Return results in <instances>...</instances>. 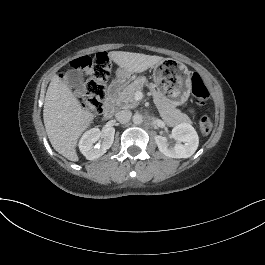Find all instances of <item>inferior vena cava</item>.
Returning <instances> with one entry per match:
<instances>
[{"label":"inferior vena cava","instance_id":"obj_1","mask_svg":"<svg viewBox=\"0 0 265 265\" xmlns=\"http://www.w3.org/2000/svg\"><path fill=\"white\" fill-rule=\"evenodd\" d=\"M132 116V112L128 110H122L115 114V119L118 122L127 123L130 121V118Z\"/></svg>","mask_w":265,"mask_h":265}]
</instances>
